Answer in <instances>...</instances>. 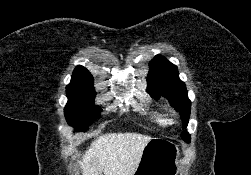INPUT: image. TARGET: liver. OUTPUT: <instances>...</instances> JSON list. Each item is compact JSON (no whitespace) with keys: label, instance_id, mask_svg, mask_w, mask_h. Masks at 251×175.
I'll return each instance as SVG.
<instances>
[{"label":"liver","instance_id":"1","mask_svg":"<svg viewBox=\"0 0 251 175\" xmlns=\"http://www.w3.org/2000/svg\"><path fill=\"white\" fill-rule=\"evenodd\" d=\"M143 133H105L92 141L82 155L83 175H133L150 141Z\"/></svg>","mask_w":251,"mask_h":175}]
</instances>
